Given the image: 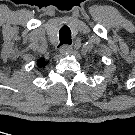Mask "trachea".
<instances>
[{
  "instance_id": "obj_1",
  "label": "trachea",
  "mask_w": 135,
  "mask_h": 135,
  "mask_svg": "<svg viewBox=\"0 0 135 135\" xmlns=\"http://www.w3.org/2000/svg\"><path fill=\"white\" fill-rule=\"evenodd\" d=\"M59 39H60L59 46L71 44V30L67 25H64L60 29V31H59Z\"/></svg>"
}]
</instances>
